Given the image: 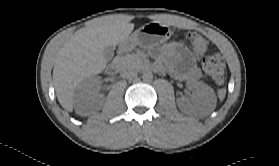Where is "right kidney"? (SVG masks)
Segmentation results:
<instances>
[{
    "mask_svg": "<svg viewBox=\"0 0 279 166\" xmlns=\"http://www.w3.org/2000/svg\"><path fill=\"white\" fill-rule=\"evenodd\" d=\"M99 79L86 80L82 83V89L84 91H79L76 95L77 103L80 106V110L87 109L91 103H94L102 98V96H97L92 92V88L99 84Z\"/></svg>",
    "mask_w": 279,
    "mask_h": 166,
    "instance_id": "obj_1",
    "label": "right kidney"
}]
</instances>
